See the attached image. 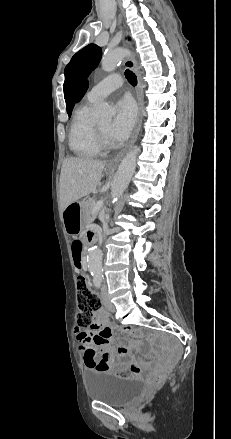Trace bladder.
Masks as SVG:
<instances>
[{"mask_svg": "<svg viewBox=\"0 0 231 439\" xmlns=\"http://www.w3.org/2000/svg\"><path fill=\"white\" fill-rule=\"evenodd\" d=\"M86 388L91 400L121 406L141 393L143 383L136 379L119 377L106 369H99L88 373Z\"/></svg>", "mask_w": 231, "mask_h": 439, "instance_id": "obj_1", "label": "bladder"}]
</instances>
